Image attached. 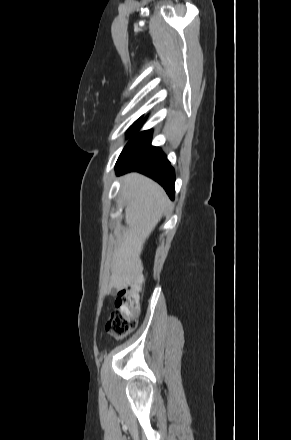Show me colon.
Here are the masks:
<instances>
[{
  "label": "colon",
  "instance_id": "1",
  "mask_svg": "<svg viewBox=\"0 0 291 440\" xmlns=\"http://www.w3.org/2000/svg\"><path fill=\"white\" fill-rule=\"evenodd\" d=\"M141 283H133L122 288L117 295L116 309L111 312L106 330L116 339H123L137 326Z\"/></svg>",
  "mask_w": 291,
  "mask_h": 440
}]
</instances>
